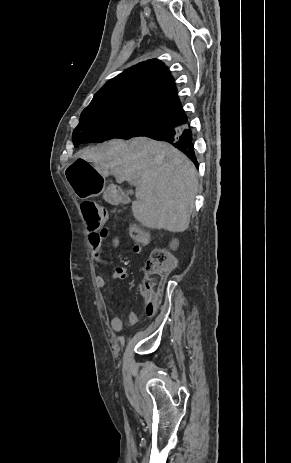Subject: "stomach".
Instances as JSON below:
<instances>
[{"label":"stomach","mask_w":291,"mask_h":463,"mask_svg":"<svg viewBox=\"0 0 291 463\" xmlns=\"http://www.w3.org/2000/svg\"><path fill=\"white\" fill-rule=\"evenodd\" d=\"M66 181L70 183L74 193L80 199H86L103 193L104 199L112 202L114 195L111 189L105 190L103 176L83 159L71 162L66 170Z\"/></svg>","instance_id":"stomach-1"}]
</instances>
